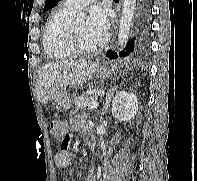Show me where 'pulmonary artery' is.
Wrapping results in <instances>:
<instances>
[{"label":"pulmonary artery","mask_w":197,"mask_h":181,"mask_svg":"<svg viewBox=\"0 0 197 181\" xmlns=\"http://www.w3.org/2000/svg\"><path fill=\"white\" fill-rule=\"evenodd\" d=\"M92 1L93 0H65L64 6L69 10L77 11Z\"/></svg>","instance_id":"obj_1"}]
</instances>
